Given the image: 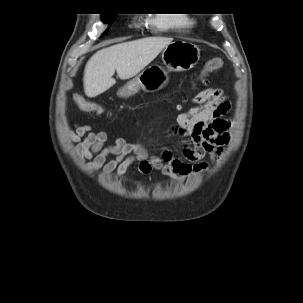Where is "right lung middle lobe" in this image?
<instances>
[{"label":"right lung middle lobe","instance_id":"1","mask_svg":"<svg viewBox=\"0 0 303 303\" xmlns=\"http://www.w3.org/2000/svg\"><path fill=\"white\" fill-rule=\"evenodd\" d=\"M115 18L114 14H102V19L104 22L111 23Z\"/></svg>","mask_w":303,"mask_h":303}]
</instances>
